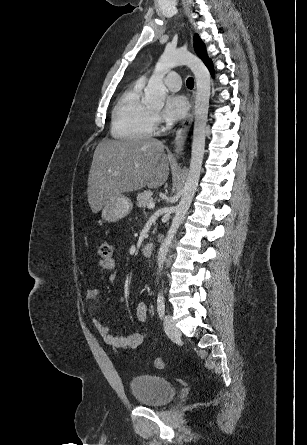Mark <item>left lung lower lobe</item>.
I'll list each match as a JSON object with an SVG mask.
<instances>
[{
  "mask_svg": "<svg viewBox=\"0 0 307 445\" xmlns=\"http://www.w3.org/2000/svg\"><path fill=\"white\" fill-rule=\"evenodd\" d=\"M206 66L208 67V69L210 70V72L213 73V69H212V63H211V61H210L209 63H207Z\"/></svg>",
  "mask_w": 307,
  "mask_h": 445,
  "instance_id": "obj_1",
  "label": "left lung lower lobe"
}]
</instances>
